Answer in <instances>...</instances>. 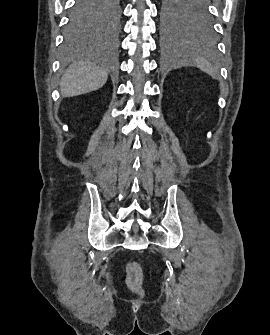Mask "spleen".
<instances>
[{
    "mask_svg": "<svg viewBox=\"0 0 270 335\" xmlns=\"http://www.w3.org/2000/svg\"><path fill=\"white\" fill-rule=\"evenodd\" d=\"M179 64H196L197 68H200L202 72H206L209 76L216 74L217 68H213L207 58L201 56L199 50H197L196 44H190V42H185L182 44L181 52L179 54Z\"/></svg>",
    "mask_w": 270,
    "mask_h": 335,
    "instance_id": "1",
    "label": "spleen"
}]
</instances>
